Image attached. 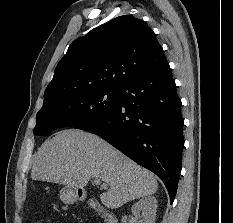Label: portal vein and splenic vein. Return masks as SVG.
Here are the masks:
<instances>
[{
    "label": "portal vein and splenic vein",
    "mask_w": 233,
    "mask_h": 223,
    "mask_svg": "<svg viewBox=\"0 0 233 223\" xmlns=\"http://www.w3.org/2000/svg\"><path fill=\"white\" fill-rule=\"evenodd\" d=\"M93 183H95V185H101L104 189L107 187V183H103L102 179H99V177H94Z\"/></svg>",
    "instance_id": "obj_1"
}]
</instances>
